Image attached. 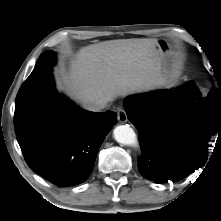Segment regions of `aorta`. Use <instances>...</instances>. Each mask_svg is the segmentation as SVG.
Instances as JSON below:
<instances>
[{"label": "aorta", "mask_w": 221, "mask_h": 221, "mask_svg": "<svg viewBox=\"0 0 221 221\" xmlns=\"http://www.w3.org/2000/svg\"><path fill=\"white\" fill-rule=\"evenodd\" d=\"M115 140L123 145L137 146L138 141L134 130L129 125H119L113 131Z\"/></svg>", "instance_id": "aorta-1"}]
</instances>
